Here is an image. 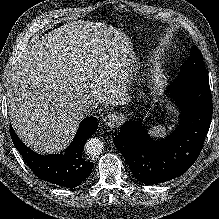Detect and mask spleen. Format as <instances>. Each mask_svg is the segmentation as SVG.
<instances>
[{"mask_svg": "<svg viewBox=\"0 0 219 219\" xmlns=\"http://www.w3.org/2000/svg\"><path fill=\"white\" fill-rule=\"evenodd\" d=\"M168 129H173V126H169ZM149 134L153 137L163 138L166 134V127L163 125L154 126L149 129Z\"/></svg>", "mask_w": 219, "mask_h": 219, "instance_id": "3e777b00", "label": "spleen"}]
</instances>
